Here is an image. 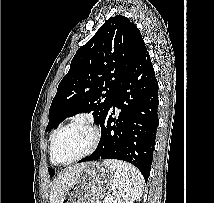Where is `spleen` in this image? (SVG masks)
<instances>
[{"label":"spleen","mask_w":214,"mask_h":203,"mask_svg":"<svg viewBox=\"0 0 214 203\" xmlns=\"http://www.w3.org/2000/svg\"><path fill=\"white\" fill-rule=\"evenodd\" d=\"M103 164L115 175L114 185L117 189L115 203L140 199L143 193L144 178L139 170L131 164L118 160H104Z\"/></svg>","instance_id":"spleen-1"}]
</instances>
